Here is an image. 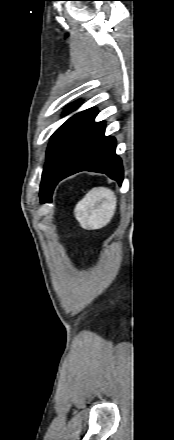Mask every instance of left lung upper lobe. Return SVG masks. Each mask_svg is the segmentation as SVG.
Masks as SVG:
<instances>
[{
    "label": "left lung upper lobe",
    "mask_w": 174,
    "mask_h": 440,
    "mask_svg": "<svg viewBox=\"0 0 174 440\" xmlns=\"http://www.w3.org/2000/svg\"><path fill=\"white\" fill-rule=\"evenodd\" d=\"M78 105L79 102L70 104L66 107V113L74 110ZM95 112L96 109L91 108L74 115L52 135L42 173L40 188L41 202L45 203L47 198L52 195L56 178L64 167L86 123Z\"/></svg>",
    "instance_id": "5c2ea615"
}]
</instances>
